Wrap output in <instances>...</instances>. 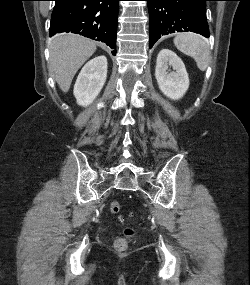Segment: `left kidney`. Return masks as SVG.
I'll use <instances>...</instances> for the list:
<instances>
[{"instance_id": "obj_1", "label": "left kidney", "mask_w": 250, "mask_h": 285, "mask_svg": "<svg viewBox=\"0 0 250 285\" xmlns=\"http://www.w3.org/2000/svg\"><path fill=\"white\" fill-rule=\"evenodd\" d=\"M169 67L174 71L169 72ZM155 77L159 89L172 100L181 99L189 88V77L183 61L169 49L159 52Z\"/></svg>"}]
</instances>
